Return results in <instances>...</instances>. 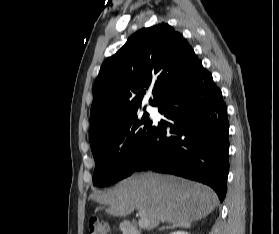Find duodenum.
Returning a JSON list of instances; mask_svg holds the SVG:
<instances>
[{
    "label": "duodenum",
    "instance_id": "duodenum-1",
    "mask_svg": "<svg viewBox=\"0 0 279 234\" xmlns=\"http://www.w3.org/2000/svg\"><path fill=\"white\" fill-rule=\"evenodd\" d=\"M125 234H140L137 228L132 223H124Z\"/></svg>",
    "mask_w": 279,
    "mask_h": 234
}]
</instances>
